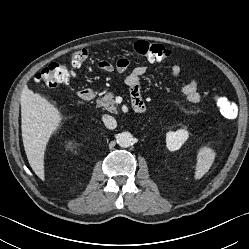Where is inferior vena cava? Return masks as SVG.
<instances>
[{
	"instance_id": "obj_1",
	"label": "inferior vena cava",
	"mask_w": 249,
	"mask_h": 249,
	"mask_svg": "<svg viewBox=\"0 0 249 249\" xmlns=\"http://www.w3.org/2000/svg\"><path fill=\"white\" fill-rule=\"evenodd\" d=\"M102 120L104 125L108 128V129H115L117 127V122L115 120L114 117L104 114L102 116Z\"/></svg>"
}]
</instances>
